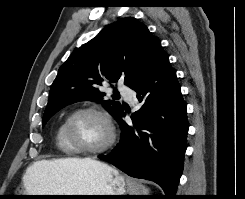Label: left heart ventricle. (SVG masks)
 Returning a JSON list of instances; mask_svg holds the SVG:
<instances>
[{"label": "left heart ventricle", "mask_w": 245, "mask_h": 199, "mask_svg": "<svg viewBox=\"0 0 245 199\" xmlns=\"http://www.w3.org/2000/svg\"><path fill=\"white\" fill-rule=\"evenodd\" d=\"M71 132L74 140L87 148L100 147L109 137L106 123L94 114H82L76 117L72 122Z\"/></svg>", "instance_id": "obj_1"}]
</instances>
